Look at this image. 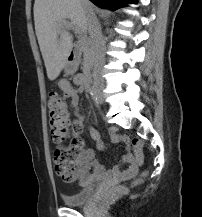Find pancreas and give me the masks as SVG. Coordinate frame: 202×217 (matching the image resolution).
I'll return each instance as SVG.
<instances>
[{"label":"pancreas","mask_w":202,"mask_h":217,"mask_svg":"<svg viewBox=\"0 0 202 217\" xmlns=\"http://www.w3.org/2000/svg\"><path fill=\"white\" fill-rule=\"evenodd\" d=\"M79 46H80V50L83 52V66H89L91 63V59H92V47H91V42L89 40V38L87 36H83L81 37V39L79 40Z\"/></svg>","instance_id":"pancreas-1"}]
</instances>
